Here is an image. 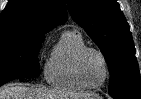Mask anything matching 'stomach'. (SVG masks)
<instances>
[{"mask_svg": "<svg viewBox=\"0 0 141 99\" xmlns=\"http://www.w3.org/2000/svg\"><path fill=\"white\" fill-rule=\"evenodd\" d=\"M86 99H99V97L97 95H91L89 98Z\"/></svg>", "mask_w": 141, "mask_h": 99, "instance_id": "1", "label": "stomach"}]
</instances>
